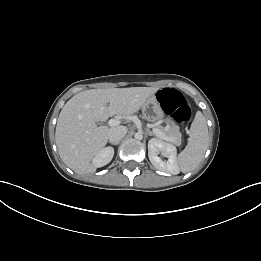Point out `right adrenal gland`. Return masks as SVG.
Segmentation results:
<instances>
[{"label": "right adrenal gland", "mask_w": 261, "mask_h": 261, "mask_svg": "<svg viewBox=\"0 0 261 261\" xmlns=\"http://www.w3.org/2000/svg\"><path fill=\"white\" fill-rule=\"evenodd\" d=\"M112 145H118L119 143H111Z\"/></svg>", "instance_id": "2a0ac1e0"}]
</instances>
